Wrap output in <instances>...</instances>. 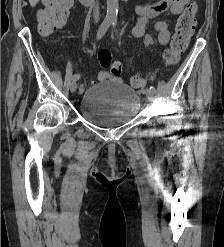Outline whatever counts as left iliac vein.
<instances>
[{"mask_svg":"<svg viewBox=\"0 0 224 247\" xmlns=\"http://www.w3.org/2000/svg\"><path fill=\"white\" fill-rule=\"evenodd\" d=\"M146 93V96H147V99L150 101V102H153L154 101V92L152 90L149 89H146L145 91Z\"/></svg>","mask_w":224,"mask_h":247,"instance_id":"obj_1","label":"left iliac vein"}]
</instances>
